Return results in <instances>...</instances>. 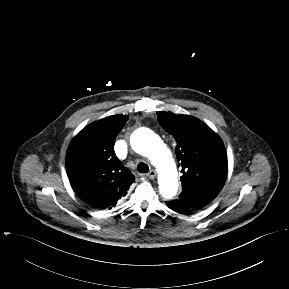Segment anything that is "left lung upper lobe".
Listing matches in <instances>:
<instances>
[{"label":"left lung upper lobe","instance_id":"1","mask_svg":"<svg viewBox=\"0 0 289 289\" xmlns=\"http://www.w3.org/2000/svg\"><path fill=\"white\" fill-rule=\"evenodd\" d=\"M157 119L177 142L175 152L183 174L179 198L209 204L227 176V155L221 138L193 116L157 112Z\"/></svg>","mask_w":289,"mask_h":289}]
</instances>
